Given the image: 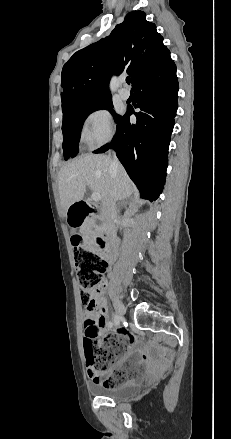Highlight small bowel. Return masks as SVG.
Masks as SVG:
<instances>
[{
  "mask_svg": "<svg viewBox=\"0 0 231 439\" xmlns=\"http://www.w3.org/2000/svg\"><path fill=\"white\" fill-rule=\"evenodd\" d=\"M92 299L95 303L94 306L87 307L83 313L84 318V344L94 345L99 342V327L107 325V312L105 309V302L101 297V290L98 288L92 295ZM122 338L127 342V352L124 357L110 370L113 373L117 369L124 367L127 370V366L131 363V357L133 355L139 356L146 362L147 371L154 373L159 366L165 362L164 358H160L159 361H155L152 356L137 348V340L128 331L122 332ZM128 362V364H126Z\"/></svg>",
  "mask_w": 231,
  "mask_h": 439,
  "instance_id": "small-bowel-1",
  "label": "small bowel"
}]
</instances>
